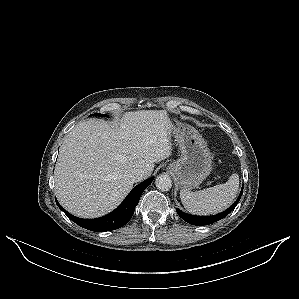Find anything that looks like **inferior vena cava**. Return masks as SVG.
Here are the masks:
<instances>
[{
    "label": "inferior vena cava",
    "mask_w": 299,
    "mask_h": 299,
    "mask_svg": "<svg viewBox=\"0 0 299 299\" xmlns=\"http://www.w3.org/2000/svg\"><path fill=\"white\" fill-rule=\"evenodd\" d=\"M145 171L143 169H134L130 173V177L134 182H139L144 179Z\"/></svg>",
    "instance_id": "602c4592"
}]
</instances>
